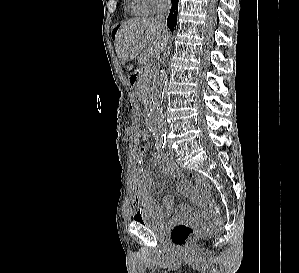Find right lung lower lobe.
<instances>
[{
  "instance_id": "right-lung-lower-lobe-1",
  "label": "right lung lower lobe",
  "mask_w": 299,
  "mask_h": 273,
  "mask_svg": "<svg viewBox=\"0 0 299 273\" xmlns=\"http://www.w3.org/2000/svg\"><path fill=\"white\" fill-rule=\"evenodd\" d=\"M178 1L179 0H172L171 11L167 19V25L171 31L174 30L177 23Z\"/></svg>"
}]
</instances>
